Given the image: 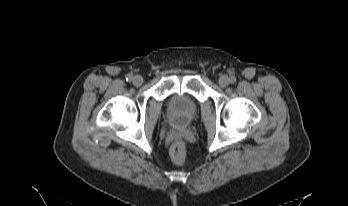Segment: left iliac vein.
Segmentation results:
<instances>
[{
  "instance_id": "obj_1",
  "label": "left iliac vein",
  "mask_w": 348,
  "mask_h": 206,
  "mask_svg": "<svg viewBox=\"0 0 348 206\" xmlns=\"http://www.w3.org/2000/svg\"><path fill=\"white\" fill-rule=\"evenodd\" d=\"M228 84H229V78L226 75H222L219 78V85L224 88L228 86Z\"/></svg>"
}]
</instances>
